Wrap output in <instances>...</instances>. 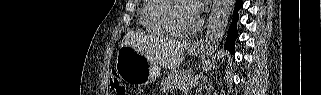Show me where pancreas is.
<instances>
[{"label": "pancreas", "instance_id": "obj_1", "mask_svg": "<svg viewBox=\"0 0 321 95\" xmlns=\"http://www.w3.org/2000/svg\"><path fill=\"white\" fill-rule=\"evenodd\" d=\"M195 80L184 70L173 71L161 82L162 90H175L194 86Z\"/></svg>", "mask_w": 321, "mask_h": 95}]
</instances>
